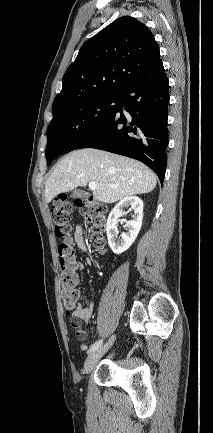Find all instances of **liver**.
<instances>
[{
	"instance_id": "1",
	"label": "liver",
	"mask_w": 213,
	"mask_h": 433,
	"mask_svg": "<svg viewBox=\"0 0 213 433\" xmlns=\"http://www.w3.org/2000/svg\"><path fill=\"white\" fill-rule=\"evenodd\" d=\"M96 182V200L114 203L123 198L151 192L156 175L143 163L121 155L85 148L66 155L45 185V200L50 203L60 193Z\"/></svg>"
}]
</instances>
